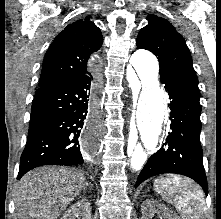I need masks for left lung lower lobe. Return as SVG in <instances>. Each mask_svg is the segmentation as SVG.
Here are the masks:
<instances>
[{
    "instance_id": "left-lung-lower-lobe-1",
    "label": "left lung lower lobe",
    "mask_w": 221,
    "mask_h": 219,
    "mask_svg": "<svg viewBox=\"0 0 221 219\" xmlns=\"http://www.w3.org/2000/svg\"><path fill=\"white\" fill-rule=\"evenodd\" d=\"M170 103L171 132L166 143L151 155L141 171L135 187L159 174L175 173L195 180L208 194L200 144V93L175 81L164 79Z\"/></svg>"
}]
</instances>
